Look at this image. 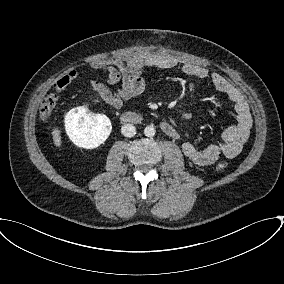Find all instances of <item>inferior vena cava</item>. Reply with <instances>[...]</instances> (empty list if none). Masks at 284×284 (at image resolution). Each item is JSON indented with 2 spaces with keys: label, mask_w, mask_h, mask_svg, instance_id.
Listing matches in <instances>:
<instances>
[{
  "label": "inferior vena cava",
  "mask_w": 284,
  "mask_h": 284,
  "mask_svg": "<svg viewBox=\"0 0 284 284\" xmlns=\"http://www.w3.org/2000/svg\"><path fill=\"white\" fill-rule=\"evenodd\" d=\"M121 132L125 137H133L136 134V128L132 124H125L121 128Z\"/></svg>",
  "instance_id": "1"
}]
</instances>
